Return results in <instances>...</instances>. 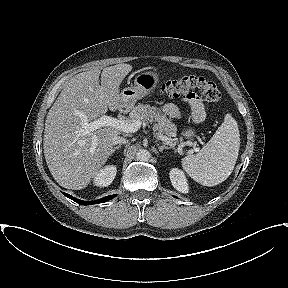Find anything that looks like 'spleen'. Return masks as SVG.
Instances as JSON below:
<instances>
[{"label": "spleen", "mask_w": 288, "mask_h": 288, "mask_svg": "<svg viewBox=\"0 0 288 288\" xmlns=\"http://www.w3.org/2000/svg\"><path fill=\"white\" fill-rule=\"evenodd\" d=\"M240 148L237 122L226 114L224 122L199 153L182 159L184 171L204 186L225 181L232 173Z\"/></svg>", "instance_id": "spleen-1"}]
</instances>
